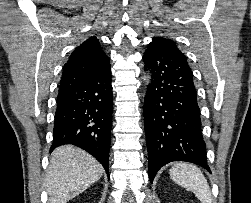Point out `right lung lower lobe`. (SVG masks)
Segmentation results:
<instances>
[{
	"mask_svg": "<svg viewBox=\"0 0 251 203\" xmlns=\"http://www.w3.org/2000/svg\"><path fill=\"white\" fill-rule=\"evenodd\" d=\"M110 64L73 88L59 93L51 151L73 144L94 156L109 177L112 128Z\"/></svg>",
	"mask_w": 251,
	"mask_h": 203,
	"instance_id": "1",
	"label": "right lung lower lobe"
}]
</instances>
